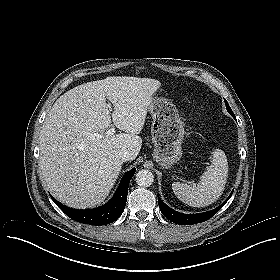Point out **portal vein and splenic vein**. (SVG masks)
<instances>
[{
	"mask_svg": "<svg viewBox=\"0 0 280 280\" xmlns=\"http://www.w3.org/2000/svg\"><path fill=\"white\" fill-rule=\"evenodd\" d=\"M114 133H115V128L112 127L105 132V135H106V137H109V136L114 135ZM100 137H101V135L98 133L93 134V138H100Z\"/></svg>",
	"mask_w": 280,
	"mask_h": 280,
	"instance_id": "obj_1",
	"label": "portal vein and splenic vein"
}]
</instances>
